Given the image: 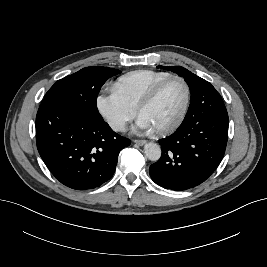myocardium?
<instances>
[{"label": "myocardium", "mask_w": 267, "mask_h": 267, "mask_svg": "<svg viewBox=\"0 0 267 267\" xmlns=\"http://www.w3.org/2000/svg\"><path fill=\"white\" fill-rule=\"evenodd\" d=\"M171 80H178L183 84L184 90H185L184 104H183V107H182V110H181L179 116L177 117V119L174 122H172L171 124H169L167 126L154 129L155 133L158 135H164V134H168V133L173 132L184 121L186 114L188 112V109H189L190 98H191L190 86H189L188 82L186 81V79L180 75H170V76L162 79L161 81L156 83L149 90V92L145 95V97L140 101V103L137 106V113L140 115L141 112L143 111V109L146 108L147 106H149L157 98L161 89Z\"/></svg>", "instance_id": "obj_1"}]
</instances>
